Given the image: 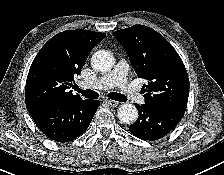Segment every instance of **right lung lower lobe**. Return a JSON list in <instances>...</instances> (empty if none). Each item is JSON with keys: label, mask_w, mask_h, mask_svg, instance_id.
<instances>
[{"label": "right lung lower lobe", "mask_w": 224, "mask_h": 175, "mask_svg": "<svg viewBox=\"0 0 224 175\" xmlns=\"http://www.w3.org/2000/svg\"><path fill=\"white\" fill-rule=\"evenodd\" d=\"M100 102L78 100L50 105L30 113L37 127L57 142H68L83 134Z\"/></svg>", "instance_id": "obj_1"}]
</instances>
